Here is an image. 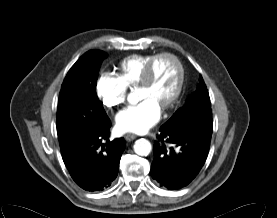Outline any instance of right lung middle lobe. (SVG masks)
<instances>
[{
  "mask_svg": "<svg viewBox=\"0 0 277 218\" xmlns=\"http://www.w3.org/2000/svg\"><path fill=\"white\" fill-rule=\"evenodd\" d=\"M106 53L86 52L69 70L58 100L57 134L61 153L93 134L108 116L96 95V83Z\"/></svg>",
  "mask_w": 277,
  "mask_h": 218,
  "instance_id": "dd1d6c3e",
  "label": "right lung middle lobe"
}]
</instances>
